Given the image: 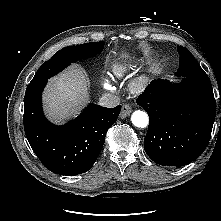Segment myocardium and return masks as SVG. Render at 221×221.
Masks as SVG:
<instances>
[{
  "label": "myocardium",
  "instance_id": "1",
  "mask_svg": "<svg viewBox=\"0 0 221 221\" xmlns=\"http://www.w3.org/2000/svg\"><path fill=\"white\" fill-rule=\"evenodd\" d=\"M148 82L149 77L147 75L141 76L133 82L132 88L135 92H141L144 90Z\"/></svg>",
  "mask_w": 221,
  "mask_h": 221
}]
</instances>
